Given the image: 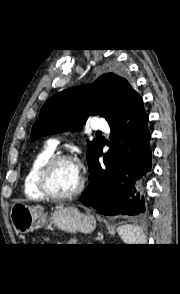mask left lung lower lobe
<instances>
[{
	"instance_id": "1",
	"label": "left lung lower lobe",
	"mask_w": 180,
	"mask_h": 294,
	"mask_svg": "<svg viewBox=\"0 0 180 294\" xmlns=\"http://www.w3.org/2000/svg\"><path fill=\"white\" fill-rule=\"evenodd\" d=\"M148 116L139 94L109 122L110 146L101 166L102 146L88 163L90 182L80 197L104 215H141L145 212L142 177L151 170Z\"/></svg>"
}]
</instances>
